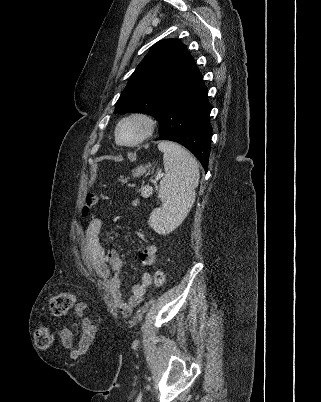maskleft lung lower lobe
<instances>
[{"label": "left lung lower lobe", "mask_w": 321, "mask_h": 402, "mask_svg": "<svg viewBox=\"0 0 321 402\" xmlns=\"http://www.w3.org/2000/svg\"><path fill=\"white\" fill-rule=\"evenodd\" d=\"M202 75L195 68L166 97L160 108L159 139L188 148L208 170L211 149V105Z\"/></svg>", "instance_id": "0a47b994"}]
</instances>
